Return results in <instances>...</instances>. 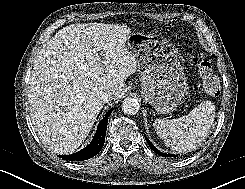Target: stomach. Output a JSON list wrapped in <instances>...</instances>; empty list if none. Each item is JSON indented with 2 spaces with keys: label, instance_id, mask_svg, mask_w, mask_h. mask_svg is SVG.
<instances>
[{
  "label": "stomach",
  "instance_id": "obj_1",
  "mask_svg": "<svg viewBox=\"0 0 245 189\" xmlns=\"http://www.w3.org/2000/svg\"><path fill=\"white\" fill-rule=\"evenodd\" d=\"M126 47L136 58L144 100L159 114L172 112L188 90L177 49L165 39L140 32L128 36Z\"/></svg>",
  "mask_w": 245,
  "mask_h": 189
}]
</instances>
